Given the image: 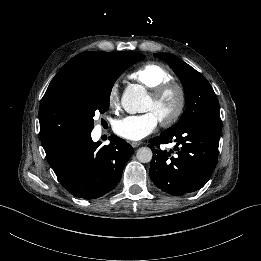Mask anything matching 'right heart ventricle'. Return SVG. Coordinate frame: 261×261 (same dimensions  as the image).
Wrapping results in <instances>:
<instances>
[{"mask_svg":"<svg viewBox=\"0 0 261 261\" xmlns=\"http://www.w3.org/2000/svg\"><path fill=\"white\" fill-rule=\"evenodd\" d=\"M131 77L150 91L165 82L173 80L170 71L156 62L142 65L132 73Z\"/></svg>","mask_w":261,"mask_h":261,"instance_id":"e07e8e85","label":"right heart ventricle"}]
</instances>
